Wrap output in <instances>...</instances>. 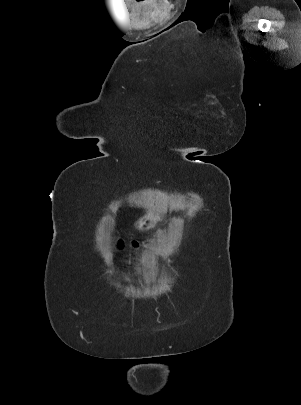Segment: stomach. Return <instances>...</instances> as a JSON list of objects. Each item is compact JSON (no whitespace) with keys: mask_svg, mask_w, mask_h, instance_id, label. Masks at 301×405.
<instances>
[{"mask_svg":"<svg viewBox=\"0 0 301 405\" xmlns=\"http://www.w3.org/2000/svg\"><path fill=\"white\" fill-rule=\"evenodd\" d=\"M156 222V217H154L151 213H147L136 221L135 226L138 229H149L155 226Z\"/></svg>","mask_w":301,"mask_h":405,"instance_id":"obj_1","label":"stomach"}]
</instances>
